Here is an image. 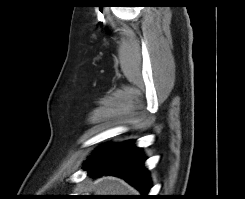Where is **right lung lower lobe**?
Returning a JSON list of instances; mask_svg holds the SVG:
<instances>
[{"label":"right lung lower lobe","instance_id":"98d812e1","mask_svg":"<svg viewBox=\"0 0 245 199\" xmlns=\"http://www.w3.org/2000/svg\"><path fill=\"white\" fill-rule=\"evenodd\" d=\"M145 157L140 148L128 141L118 144H108L93 152L83 169L89 176L115 175L125 179L142 194V199H150V179L144 166Z\"/></svg>","mask_w":245,"mask_h":199}]
</instances>
